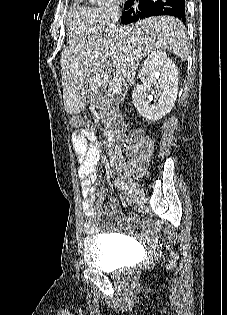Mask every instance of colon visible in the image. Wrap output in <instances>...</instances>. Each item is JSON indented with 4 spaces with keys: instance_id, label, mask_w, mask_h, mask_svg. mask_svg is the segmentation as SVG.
I'll use <instances>...</instances> for the list:
<instances>
[{
    "instance_id": "obj_1",
    "label": "colon",
    "mask_w": 227,
    "mask_h": 315,
    "mask_svg": "<svg viewBox=\"0 0 227 315\" xmlns=\"http://www.w3.org/2000/svg\"><path fill=\"white\" fill-rule=\"evenodd\" d=\"M71 125L77 130L79 133L83 134H94L92 127L88 124L85 119L81 116H73L71 118Z\"/></svg>"
}]
</instances>
